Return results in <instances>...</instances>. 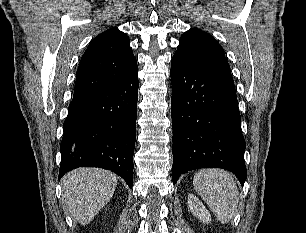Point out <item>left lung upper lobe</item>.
I'll return each mask as SVG.
<instances>
[{
  "mask_svg": "<svg viewBox=\"0 0 306 233\" xmlns=\"http://www.w3.org/2000/svg\"><path fill=\"white\" fill-rule=\"evenodd\" d=\"M175 55L191 64L231 74L221 45L210 34L191 28L180 37Z\"/></svg>",
  "mask_w": 306,
  "mask_h": 233,
  "instance_id": "left-lung-upper-lobe-1",
  "label": "left lung upper lobe"
}]
</instances>
